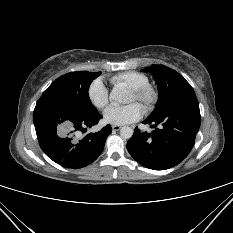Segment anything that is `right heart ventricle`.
Here are the masks:
<instances>
[{"instance_id":"right-heart-ventricle-1","label":"right heart ventricle","mask_w":233,"mask_h":233,"mask_svg":"<svg viewBox=\"0 0 233 233\" xmlns=\"http://www.w3.org/2000/svg\"><path fill=\"white\" fill-rule=\"evenodd\" d=\"M110 81L113 84H125L131 89L149 83L148 77L137 71H125L118 73L112 76Z\"/></svg>"}]
</instances>
